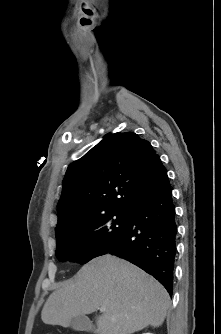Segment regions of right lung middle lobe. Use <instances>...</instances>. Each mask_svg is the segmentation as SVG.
Segmentation results:
<instances>
[{"instance_id":"obj_1","label":"right lung middle lobe","mask_w":221,"mask_h":334,"mask_svg":"<svg viewBox=\"0 0 221 334\" xmlns=\"http://www.w3.org/2000/svg\"><path fill=\"white\" fill-rule=\"evenodd\" d=\"M128 218L127 212H110L69 227L56 237L57 258L87 263L120 240Z\"/></svg>"}]
</instances>
